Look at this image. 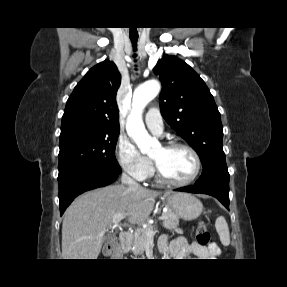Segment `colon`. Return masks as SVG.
<instances>
[{
  "label": "colon",
  "mask_w": 287,
  "mask_h": 287,
  "mask_svg": "<svg viewBox=\"0 0 287 287\" xmlns=\"http://www.w3.org/2000/svg\"><path fill=\"white\" fill-rule=\"evenodd\" d=\"M211 235L206 223L201 222L196 231V241L201 246H206L210 243Z\"/></svg>",
  "instance_id": "obj_1"
}]
</instances>
